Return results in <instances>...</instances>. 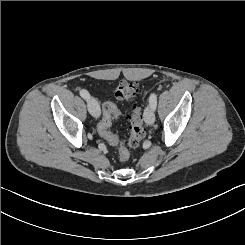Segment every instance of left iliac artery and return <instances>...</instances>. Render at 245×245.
Segmentation results:
<instances>
[{
    "instance_id": "44dca946",
    "label": "left iliac artery",
    "mask_w": 245,
    "mask_h": 245,
    "mask_svg": "<svg viewBox=\"0 0 245 245\" xmlns=\"http://www.w3.org/2000/svg\"><path fill=\"white\" fill-rule=\"evenodd\" d=\"M149 104L153 109H156L157 105V95L156 93H152L149 97Z\"/></svg>"
}]
</instances>
